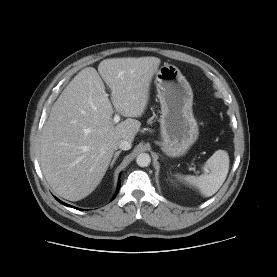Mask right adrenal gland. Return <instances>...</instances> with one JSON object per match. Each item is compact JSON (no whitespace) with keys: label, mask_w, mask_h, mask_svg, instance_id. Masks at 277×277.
I'll list each match as a JSON object with an SVG mask.
<instances>
[{"label":"right adrenal gland","mask_w":277,"mask_h":277,"mask_svg":"<svg viewBox=\"0 0 277 277\" xmlns=\"http://www.w3.org/2000/svg\"><path fill=\"white\" fill-rule=\"evenodd\" d=\"M120 153H121V150L115 152L113 160L111 161V164H110V168L113 167V165H114L115 161L117 160V158L119 157Z\"/></svg>","instance_id":"1"}]
</instances>
